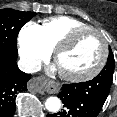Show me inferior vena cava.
<instances>
[{
  "mask_svg": "<svg viewBox=\"0 0 117 117\" xmlns=\"http://www.w3.org/2000/svg\"><path fill=\"white\" fill-rule=\"evenodd\" d=\"M18 67L25 73H34L41 69V63L33 59H20Z\"/></svg>",
  "mask_w": 117,
  "mask_h": 117,
  "instance_id": "602c4592",
  "label": "inferior vena cava"
}]
</instances>
